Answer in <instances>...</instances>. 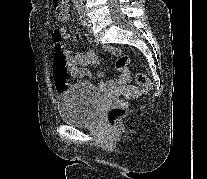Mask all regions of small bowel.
Instances as JSON below:
<instances>
[{
    "label": "small bowel",
    "instance_id": "small-bowel-1",
    "mask_svg": "<svg viewBox=\"0 0 207 179\" xmlns=\"http://www.w3.org/2000/svg\"><path fill=\"white\" fill-rule=\"evenodd\" d=\"M70 18L69 5L67 11L59 17V20L62 22L68 21ZM58 31L62 37H67L66 30L63 28L56 29L54 32ZM104 49L108 51L112 57H118L121 52L118 48L112 46H105ZM64 55L68 61V68L70 70L71 75L76 79H83L85 77L90 76V72L87 70L88 66H96L99 65L100 61L97 58L96 54L92 50H87L85 52H78L75 55H71L70 51H65ZM99 78L104 77V73L99 71L97 73ZM130 80L129 73L121 72L120 78L118 82L108 81L102 82L99 85V89L103 92H109L117 87H124ZM58 88H62L57 83Z\"/></svg>",
    "mask_w": 207,
    "mask_h": 179
}]
</instances>
